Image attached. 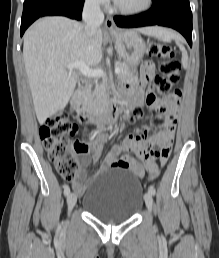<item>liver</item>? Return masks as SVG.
I'll list each match as a JSON object with an SVG mask.
<instances>
[{
  "label": "liver",
  "instance_id": "1",
  "mask_svg": "<svg viewBox=\"0 0 219 258\" xmlns=\"http://www.w3.org/2000/svg\"><path fill=\"white\" fill-rule=\"evenodd\" d=\"M151 35L153 28H141ZM103 33L93 38L84 25L66 17H44L24 34L23 60L37 119L40 123L66 107L78 75L67 65L77 61L96 66L102 59Z\"/></svg>",
  "mask_w": 219,
  "mask_h": 258
}]
</instances>
